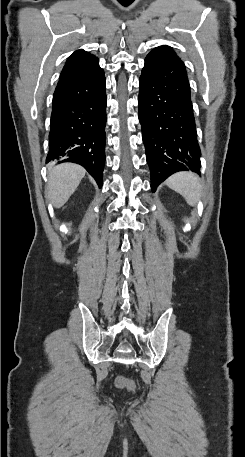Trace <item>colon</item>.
Returning <instances> with one entry per match:
<instances>
[{
  "label": "colon",
  "instance_id": "colon-1",
  "mask_svg": "<svg viewBox=\"0 0 245 457\" xmlns=\"http://www.w3.org/2000/svg\"><path fill=\"white\" fill-rule=\"evenodd\" d=\"M117 384L120 387L127 388V389H130V390L134 388L133 382L130 379H127V378L122 377V376L118 377Z\"/></svg>",
  "mask_w": 245,
  "mask_h": 457
}]
</instances>
